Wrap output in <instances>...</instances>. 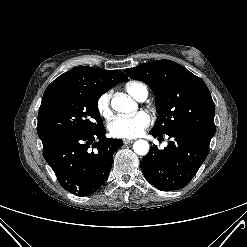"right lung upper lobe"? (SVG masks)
<instances>
[{
  "label": "right lung upper lobe",
  "instance_id": "1",
  "mask_svg": "<svg viewBox=\"0 0 247 247\" xmlns=\"http://www.w3.org/2000/svg\"><path fill=\"white\" fill-rule=\"evenodd\" d=\"M126 80L127 76L118 70L106 71L87 66L77 67L55 79L45 90L43 99L52 96L60 90L79 86H94L107 91Z\"/></svg>",
  "mask_w": 247,
  "mask_h": 247
}]
</instances>
